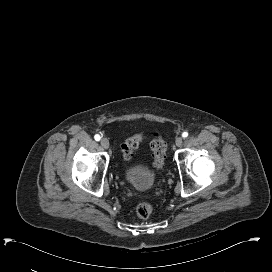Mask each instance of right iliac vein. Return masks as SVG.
I'll use <instances>...</instances> for the list:
<instances>
[{
  "label": "right iliac vein",
  "instance_id": "63e3f726",
  "mask_svg": "<svg viewBox=\"0 0 272 272\" xmlns=\"http://www.w3.org/2000/svg\"><path fill=\"white\" fill-rule=\"evenodd\" d=\"M100 145L102 148L108 149L109 148V141L106 138H102L100 141Z\"/></svg>",
  "mask_w": 272,
  "mask_h": 272
}]
</instances>
